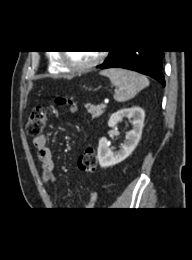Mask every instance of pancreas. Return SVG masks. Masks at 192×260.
<instances>
[{
	"mask_svg": "<svg viewBox=\"0 0 192 260\" xmlns=\"http://www.w3.org/2000/svg\"><path fill=\"white\" fill-rule=\"evenodd\" d=\"M85 107L87 111L91 114L92 118L99 117L105 111V107H102L101 105L94 106V105L86 104Z\"/></svg>",
	"mask_w": 192,
	"mask_h": 260,
	"instance_id": "1",
	"label": "pancreas"
}]
</instances>
